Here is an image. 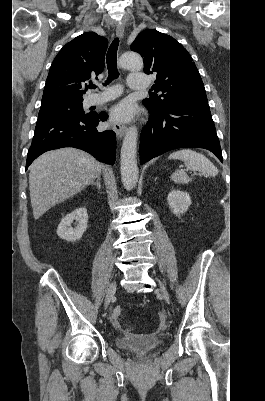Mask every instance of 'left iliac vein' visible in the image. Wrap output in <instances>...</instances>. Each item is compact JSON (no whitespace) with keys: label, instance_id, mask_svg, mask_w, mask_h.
I'll return each mask as SVG.
<instances>
[{"label":"left iliac vein","instance_id":"1","mask_svg":"<svg viewBox=\"0 0 265 401\" xmlns=\"http://www.w3.org/2000/svg\"><path fill=\"white\" fill-rule=\"evenodd\" d=\"M159 290H160V293L163 295L164 299L166 300V302L169 303L170 296H169L167 289L163 285H160Z\"/></svg>","mask_w":265,"mask_h":401}]
</instances>
